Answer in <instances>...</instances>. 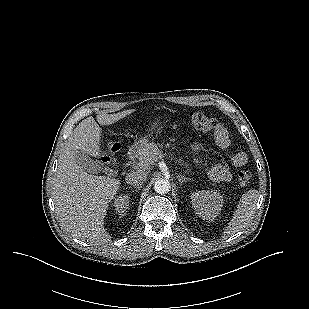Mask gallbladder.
<instances>
[{
	"mask_svg": "<svg viewBox=\"0 0 309 309\" xmlns=\"http://www.w3.org/2000/svg\"><path fill=\"white\" fill-rule=\"evenodd\" d=\"M75 158L78 165L85 171L89 173H98L101 171V166L93 161L85 152L83 151H76Z\"/></svg>",
	"mask_w": 309,
	"mask_h": 309,
	"instance_id": "bac80fb5",
	"label": "gallbladder"
}]
</instances>
